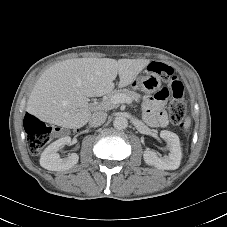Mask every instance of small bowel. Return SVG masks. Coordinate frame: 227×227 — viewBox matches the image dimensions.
<instances>
[{"label":"small bowel","mask_w":227,"mask_h":227,"mask_svg":"<svg viewBox=\"0 0 227 227\" xmlns=\"http://www.w3.org/2000/svg\"><path fill=\"white\" fill-rule=\"evenodd\" d=\"M169 98L166 88H159L153 96H147L144 100V110L147 122L155 127L165 126L167 116L163 109L164 103Z\"/></svg>","instance_id":"obj_1"}]
</instances>
